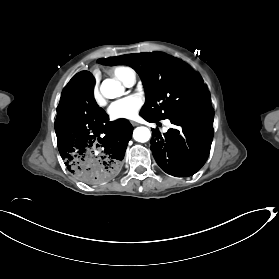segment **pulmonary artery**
<instances>
[{
  "instance_id": "1",
  "label": "pulmonary artery",
  "mask_w": 279,
  "mask_h": 279,
  "mask_svg": "<svg viewBox=\"0 0 279 279\" xmlns=\"http://www.w3.org/2000/svg\"><path fill=\"white\" fill-rule=\"evenodd\" d=\"M135 82V76L134 75H131V77L129 78L126 86H132Z\"/></svg>"
}]
</instances>
